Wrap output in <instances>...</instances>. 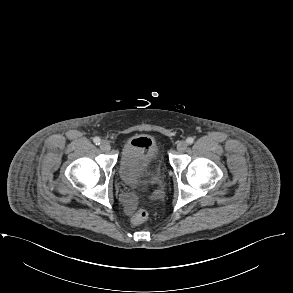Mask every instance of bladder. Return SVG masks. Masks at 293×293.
Here are the masks:
<instances>
[{"label": "bladder", "mask_w": 293, "mask_h": 293, "mask_svg": "<svg viewBox=\"0 0 293 293\" xmlns=\"http://www.w3.org/2000/svg\"><path fill=\"white\" fill-rule=\"evenodd\" d=\"M150 174L154 181L163 176V165L157 145H134L127 143L121 153L119 176L127 184L133 185L138 179Z\"/></svg>", "instance_id": "31cf9c89"}]
</instances>
